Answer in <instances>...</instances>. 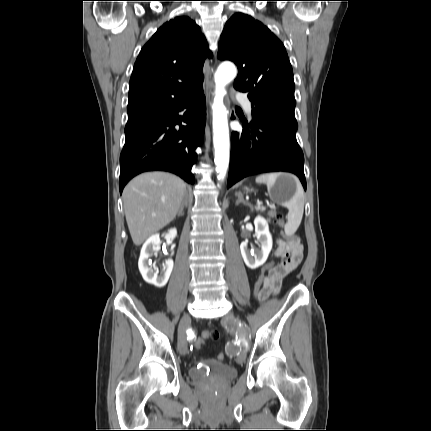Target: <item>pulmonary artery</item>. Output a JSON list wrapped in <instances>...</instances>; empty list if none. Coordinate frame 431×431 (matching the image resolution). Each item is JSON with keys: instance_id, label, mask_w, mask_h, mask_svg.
Wrapping results in <instances>:
<instances>
[{"instance_id": "pulmonary-artery-1", "label": "pulmonary artery", "mask_w": 431, "mask_h": 431, "mask_svg": "<svg viewBox=\"0 0 431 431\" xmlns=\"http://www.w3.org/2000/svg\"><path fill=\"white\" fill-rule=\"evenodd\" d=\"M236 97H237V100L242 104L244 109L248 113H251L253 106H252L250 100L246 96H244L243 94H237Z\"/></svg>"}]
</instances>
